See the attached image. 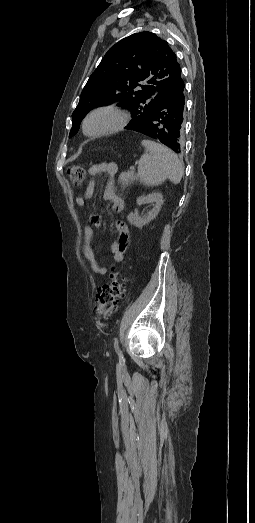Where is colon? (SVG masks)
I'll return each instance as SVG.
<instances>
[{
  "mask_svg": "<svg viewBox=\"0 0 255 523\" xmlns=\"http://www.w3.org/2000/svg\"><path fill=\"white\" fill-rule=\"evenodd\" d=\"M67 173L74 185L79 186L83 183L85 169L82 166L70 165L67 168ZM124 293L125 278L119 273L110 274L108 282L102 285L97 295V313L102 317L109 316L117 308L118 302L123 298Z\"/></svg>",
  "mask_w": 255,
  "mask_h": 523,
  "instance_id": "5ec220e1",
  "label": "colon"
}]
</instances>
